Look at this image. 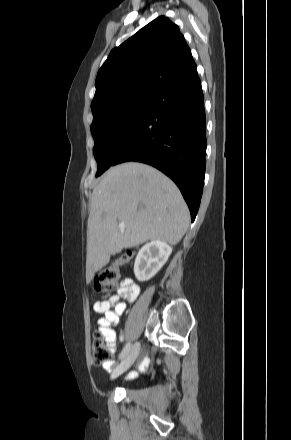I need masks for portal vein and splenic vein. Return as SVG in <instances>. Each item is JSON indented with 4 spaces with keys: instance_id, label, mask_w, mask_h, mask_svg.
<instances>
[{
    "instance_id": "1",
    "label": "portal vein and splenic vein",
    "mask_w": 291,
    "mask_h": 440,
    "mask_svg": "<svg viewBox=\"0 0 291 440\" xmlns=\"http://www.w3.org/2000/svg\"><path fill=\"white\" fill-rule=\"evenodd\" d=\"M118 227H119L120 229H124V228H125V225H124V223H119Z\"/></svg>"
}]
</instances>
